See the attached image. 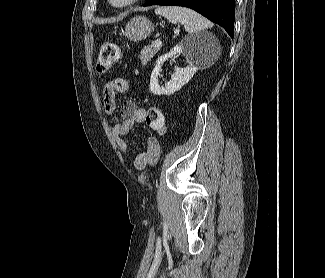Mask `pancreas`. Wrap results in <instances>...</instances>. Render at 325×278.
<instances>
[{
  "instance_id": "obj_1",
  "label": "pancreas",
  "mask_w": 325,
  "mask_h": 278,
  "mask_svg": "<svg viewBox=\"0 0 325 278\" xmlns=\"http://www.w3.org/2000/svg\"><path fill=\"white\" fill-rule=\"evenodd\" d=\"M161 49V46L154 47L153 45H148L144 47L140 52V59L142 61V65H146L154 55Z\"/></svg>"
}]
</instances>
